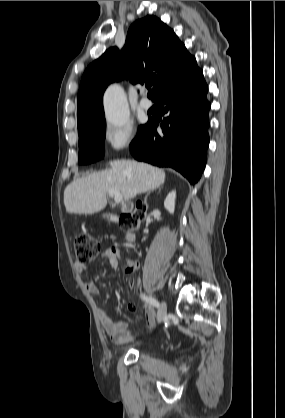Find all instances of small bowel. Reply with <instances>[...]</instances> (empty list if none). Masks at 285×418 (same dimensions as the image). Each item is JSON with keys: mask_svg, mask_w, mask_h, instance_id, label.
I'll return each instance as SVG.
<instances>
[{"mask_svg": "<svg viewBox=\"0 0 285 418\" xmlns=\"http://www.w3.org/2000/svg\"><path fill=\"white\" fill-rule=\"evenodd\" d=\"M103 257L109 261V264L112 268H117L121 264L120 252L115 247L107 248L103 251ZM137 268V263L128 262L124 266V273L128 276H131ZM75 269L78 273L82 274L86 271L87 267L84 264L76 263ZM129 285L133 284V280H128ZM84 284L87 290L92 294L98 293V288L90 277H86ZM131 309V306L128 307ZM99 316L102 321L103 328L111 341L116 345L124 344L132 339V336L128 330V323L126 320L121 319L117 322L112 321L104 313L100 312ZM145 317L147 322H152L153 320V311L150 308L145 309Z\"/></svg>", "mask_w": 285, "mask_h": 418, "instance_id": "obj_1", "label": "small bowel"}]
</instances>
